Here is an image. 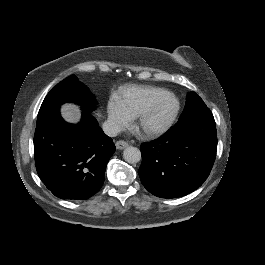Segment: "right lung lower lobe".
Here are the masks:
<instances>
[{
	"label": "right lung lower lobe",
	"instance_id": "right-lung-lower-lobe-1",
	"mask_svg": "<svg viewBox=\"0 0 265 265\" xmlns=\"http://www.w3.org/2000/svg\"><path fill=\"white\" fill-rule=\"evenodd\" d=\"M115 145L95 117L65 122L56 109L37 121L34 156L38 176L61 199L85 200L99 191Z\"/></svg>",
	"mask_w": 265,
	"mask_h": 265
}]
</instances>
